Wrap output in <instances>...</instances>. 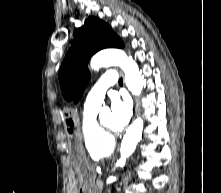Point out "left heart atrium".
<instances>
[{"label": "left heart atrium", "mask_w": 221, "mask_h": 193, "mask_svg": "<svg viewBox=\"0 0 221 193\" xmlns=\"http://www.w3.org/2000/svg\"><path fill=\"white\" fill-rule=\"evenodd\" d=\"M111 112L115 130H122L132 115L130 101L127 98L114 96L111 100Z\"/></svg>", "instance_id": "left-heart-atrium-1"}]
</instances>
